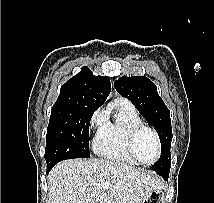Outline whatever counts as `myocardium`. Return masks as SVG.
Instances as JSON below:
<instances>
[{"instance_id":"f54148a6","label":"myocardium","mask_w":214,"mask_h":203,"mask_svg":"<svg viewBox=\"0 0 214 203\" xmlns=\"http://www.w3.org/2000/svg\"><path fill=\"white\" fill-rule=\"evenodd\" d=\"M143 131H149L152 134V136L154 137L155 143H156V148H157L156 158L152 162H149V163L142 161L136 152V141H137V138L140 135V133ZM127 149H128V152L130 153V155L139 164L146 165V166L155 164L159 160V158L161 156V151H162L161 142H160L158 133L153 128H151L150 126L145 125V124L137 125L131 129V131L128 135V139H127Z\"/></svg>"}]
</instances>
